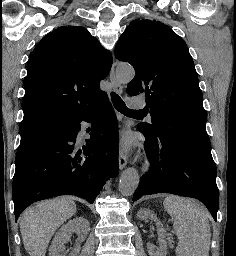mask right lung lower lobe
<instances>
[{"label": "right lung lower lobe", "mask_w": 236, "mask_h": 256, "mask_svg": "<svg viewBox=\"0 0 236 256\" xmlns=\"http://www.w3.org/2000/svg\"><path fill=\"white\" fill-rule=\"evenodd\" d=\"M81 121L92 123L83 145L77 140ZM118 173V123L105 98L20 144L12 186L15 219L31 203L55 196L71 194L93 203Z\"/></svg>", "instance_id": "98d812e1"}]
</instances>
